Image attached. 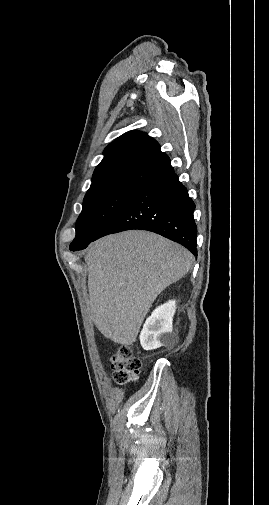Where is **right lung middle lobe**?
I'll return each instance as SVG.
<instances>
[{"label": "right lung middle lobe", "instance_id": "dd1d6c3e", "mask_svg": "<svg viewBox=\"0 0 269 505\" xmlns=\"http://www.w3.org/2000/svg\"><path fill=\"white\" fill-rule=\"evenodd\" d=\"M137 189L120 185L89 189L76 222V237L70 244V250H80L92 242Z\"/></svg>", "mask_w": 269, "mask_h": 505}]
</instances>
